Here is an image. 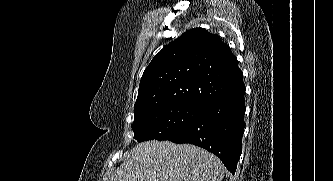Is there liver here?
Here are the masks:
<instances>
[{
	"mask_svg": "<svg viewBox=\"0 0 333 181\" xmlns=\"http://www.w3.org/2000/svg\"><path fill=\"white\" fill-rule=\"evenodd\" d=\"M224 172L221 160L203 148L151 140L126 153L106 181H222Z\"/></svg>",
	"mask_w": 333,
	"mask_h": 181,
	"instance_id": "1",
	"label": "liver"
}]
</instances>
